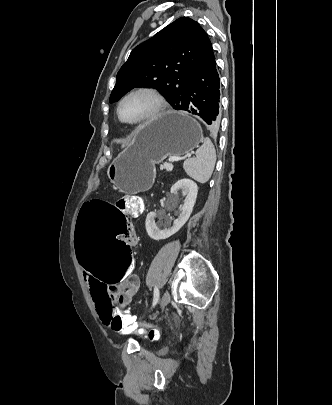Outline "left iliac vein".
<instances>
[{"mask_svg":"<svg viewBox=\"0 0 332 405\" xmlns=\"http://www.w3.org/2000/svg\"><path fill=\"white\" fill-rule=\"evenodd\" d=\"M169 301H170V294L168 291H165L160 300V309H163L169 303Z\"/></svg>","mask_w":332,"mask_h":405,"instance_id":"left-iliac-vein-1","label":"left iliac vein"}]
</instances>
